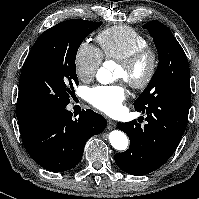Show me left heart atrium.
Listing matches in <instances>:
<instances>
[{"instance_id": "39dd6f15", "label": "left heart atrium", "mask_w": 199, "mask_h": 199, "mask_svg": "<svg viewBox=\"0 0 199 199\" xmlns=\"http://www.w3.org/2000/svg\"><path fill=\"white\" fill-rule=\"evenodd\" d=\"M126 96L123 85L98 86L89 91L88 100L98 110L108 115H117L122 110Z\"/></svg>"}]
</instances>
